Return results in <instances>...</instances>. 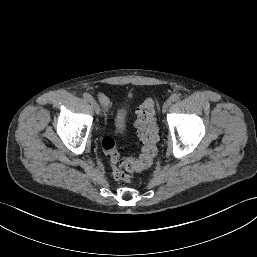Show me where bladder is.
I'll return each mask as SVG.
<instances>
[{"mask_svg":"<svg viewBox=\"0 0 257 257\" xmlns=\"http://www.w3.org/2000/svg\"><path fill=\"white\" fill-rule=\"evenodd\" d=\"M115 129L118 132H122L127 128L128 116L122 111H118L114 118Z\"/></svg>","mask_w":257,"mask_h":257,"instance_id":"bladder-1","label":"bladder"}]
</instances>
